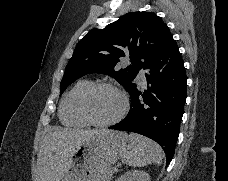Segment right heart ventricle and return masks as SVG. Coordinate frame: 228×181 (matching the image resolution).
Returning a JSON list of instances; mask_svg holds the SVG:
<instances>
[{
    "label": "right heart ventricle",
    "mask_w": 228,
    "mask_h": 181,
    "mask_svg": "<svg viewBox=\"0 0 228 181\" xmlns=\"http://www.w3.org/2000/svg\"><path fill=\"white\" fill-rule=\"evenodd\" d=\"M91 84L89 80H80L66 95L61 109V120L65 125L85 126L86 121L81 118L77 109L78 98Z\"/></svg>",
    "instance_id": "1"
}]
</instances>
